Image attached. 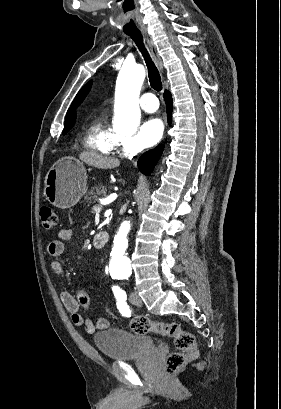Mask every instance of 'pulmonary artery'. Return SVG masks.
<instances>
[{
    "instance_id": "e3ab8cb5",
    "label": "pulmonary artery",
    "mask_w": 281,
    "mask_h": 409,
    "mask_svg": "<svg viewBox=\"0 0 281 409\" xmlns=\"http://www.w3.org/2000/svg\"><path fill=\"white\" fill-rule=\"evenodd\" d=\"M157 101V96L155 94H145L141 98L140 106L143 110L154 111L157 109V106H153Z\"/></svg>"
}]
</instances>
